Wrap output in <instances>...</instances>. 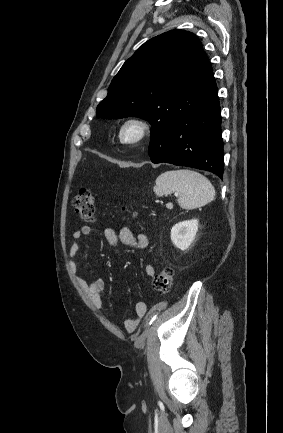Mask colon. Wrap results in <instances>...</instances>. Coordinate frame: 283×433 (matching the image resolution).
<instances>
[{"mask_svg":"<svg viewBox=\"0 0 283 433\" xmlns=\"http://www.w3.org/2000/svg\"><path fill=\"white\" fill-rule=\"evenodd\" d=\"M73 209L75 213L85 221H93L95 216L94 197L90 190L81 189L73 199ZM124 211H128L127 207H123ZM174 271L166 267L161 270L153 280V288L160 294L167 293L173 283Z\"/></svg>","mask_w":283,"mask_h":433,"instance_id":"obj_1","label":"colon"}]
</instances>
